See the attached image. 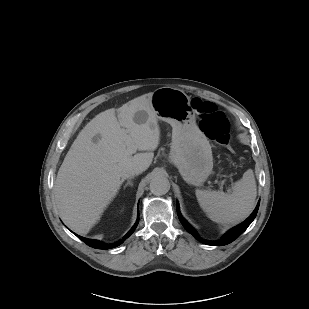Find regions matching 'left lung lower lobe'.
I'll return each mask as SVG.
<instances>
[{
    "label": "left lung lower lobe",
    "mask_w": 309,
    "mask_h": 309,
    "mask_svg": "<svg viewBox=\"0 0 309 309\" xmlns=\"http://www.w3.org/2000/svg\"><path fill=\"white\" fill-rule=\"evenodd\" d=\"M259 203L258 202L255 210L253 211V213L240 225L234 227L233 229H231L230 231H228L221 240L219 241H206L201 239L196 231L193 229L192 226H190L187 221L181 216L180 212H179V207L177 205V213H178V217L179 220L181 221L182 225L184 226V228L191 233L197 240H199L200 242L204 243V244H208V245H215V246H222V245H227L229 243H231L232 241H234L237 237H239L247 228L248 226L252 223V221L254 220V218L256 217V214L258 212V208H259Z\"/></svg>",
    "instance_id": "left-lung-lower-lobe-1"
}]
</instances>
